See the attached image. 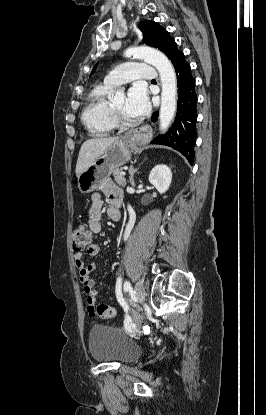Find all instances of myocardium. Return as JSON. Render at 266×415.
I'll return each instance as SVG.
<instances>
[{
    "instance_id": "obj_1",
    "label": "myocardium",
    "mask_w": 266,
    "mask_h": 415,
    "mask_svg": "<svg viewBox=\"0 0 266 415\" xmlns=\"http://www.w3.org/2000/svg\"><path fill=\"white\" fill-rule=\"evenodd\" d=\"M111 110H112L114 119L117 124L124 126V127H128L136 123L135 121L126 118L119 110L115 108L113 103H111Z\"/></svg>"
}]
</instances>
